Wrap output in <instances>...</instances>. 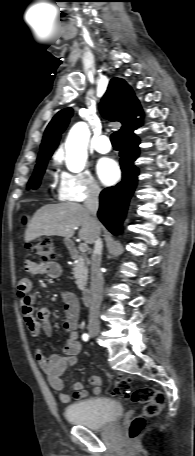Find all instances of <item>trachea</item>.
Instances as JSON below:
<instances>
[{"mask_svg": "<svg viewBox=\"0 0 195 456\" xmlns=\"http://www.w3.org/2000/svg\"><path fill=\"white\" fill-rule=\"evenodd\" d=\"M120 133L119 132H114L112 135H111V143L114 147H119L120 146Z\"/></svg>", "mask_w": 195, "mask_h": 456, "instance_id": "1", "label": "trachea"}]
</instances>
